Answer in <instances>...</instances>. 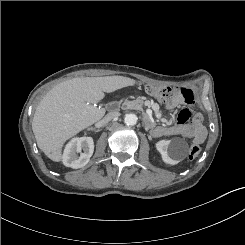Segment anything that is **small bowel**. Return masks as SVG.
<instances>
[{
  "label": "small bowel",
  "instance_id": "1",
  "mask_svg": "<svg viewBox=\"0 0 245 245\" xmlns=\"http://www.w3.org/2000/svg\"><path fill=\"white\" fill-rule=\"evenodd\" d=\"M194 103L193 92L189 88L176 90L172 97L166 102V108L173 110L181 108L176 122L172 125L156 126L154 123L148 126L154 137L180 135L191 139L194 143H202L207 136L203 124V116L199 112H192Z\"/></svg>",
  "mask_w": 245,
  "mask_h": 245
}]
</instances>
